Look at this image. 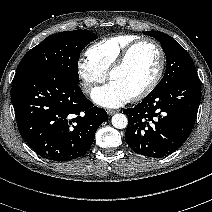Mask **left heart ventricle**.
Here are the masks:
<instances>
[{
  "mask_svg": "<svg viewBox=\"0 0 212 212\" xmlns=\"http://www.w3.org/2000/svg\"><path fill=\"white\" fill-rule=\"evenodd\" d=\"M159 65V54L149 44L138 46L126 65L111 78V83L131 97L142 90L154 77Z\"/></svg>",
  "mask_w": 212,
  "mask_h": 212,
  "instance_id": "b2bd125f",
  "label": "left heart ventricle"
}]
</instances>
